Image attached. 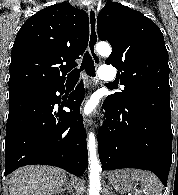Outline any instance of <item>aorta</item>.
<instances>
[{"label":"aorta","mask_w":178,"mask_h":195,"mask_svg":"<svg viewBox=\"0 0 178 195\" xmlns=\"http://www.w3.org/2000/svg\"><path fill=\"white\" fill-rule=\"evenodd\" d=\"M97 52L102 56H109L111 54V47L106 42H100L96 47ZM88 151H89V195H100V171L101 166L97 157V145L96 139L93 133H90L87 140Z\"/></svg>","instance_id":"obj_1"}]
</instances>
